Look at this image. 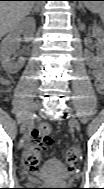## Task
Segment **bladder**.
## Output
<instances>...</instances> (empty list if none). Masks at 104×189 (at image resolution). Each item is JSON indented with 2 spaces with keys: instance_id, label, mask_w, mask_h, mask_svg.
<instances>
[{
  "instance_id": "31cf9c89",
  "label": "bladder",
  "mask_w": 104,
  "mask_h": 189,
  "mask_svg": "<svg viewBox=\"0 0 104 189\" xmlns=\"http://www.w3.org/2000/svg\"><path fill=\"white\" fill-rule=\"evenodd\" d=\"M67 174V168L62 161L51 158L45 162L40 171L30 175L27 178L29 183L37 184L53 179H58Z\"/></svg>"
}]
</instances>
